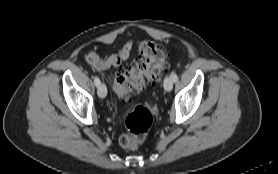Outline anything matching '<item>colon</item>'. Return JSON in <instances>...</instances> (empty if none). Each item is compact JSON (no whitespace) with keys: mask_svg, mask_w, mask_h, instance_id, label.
Instances as JSON below:
<instances>
[{"mask_svg":"<svg viewBox=\"0 0 278 174\" xmlns=\"http://www.w3.org/2000/svg\"><path fill=\"white\" fill-rule=\"evenodd\" d=\"M139 53L131 67H123L114 75V90L124 100L157 83L167 66V54L152 41H142ZM152 122L153 117L147 107H135L126 118L127 132L120 137V145L129 150L136 149L145 141Z\"/></svg>","mask_w":278,"mask_h":174,"instance_id":"obj_1","label":"colon"}]
</instances>
